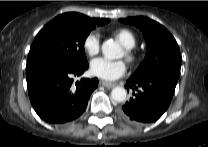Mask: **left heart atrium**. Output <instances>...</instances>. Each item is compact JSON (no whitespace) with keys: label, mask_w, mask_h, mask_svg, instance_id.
Here are the masks:
<instances>
[{"label":"left heart atrium","mask_w":208,"mask_h":147,"mask_svg":"<svg viewBox=\"0 0 208 147\" xmlns=\"http://www.w3.org/2000/svg\"><path fill=\"white\" fill-rule=\"evenodd\" d=\"M90 70L94 76L112 81L126 72V64L122 60H109L100 57L91 61Z\"/></svg>","instance_id":"obj_1"}]
</instances>
